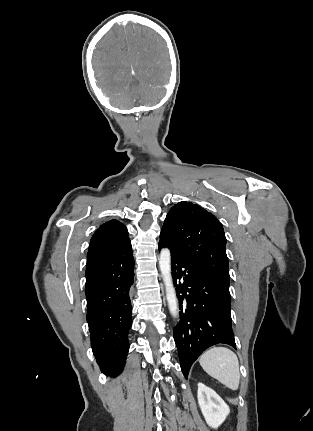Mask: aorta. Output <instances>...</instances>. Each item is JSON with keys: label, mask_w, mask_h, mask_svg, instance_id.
Wrapping results in <instances>:
<instances>
[{"label": "aorta", "mask_w": 313, "mask_h": 431, "mask_svg": "<svg viewBox=\"0 0 313 431\" xmlns=\"http://www.w3.org/2000/svg\"><path fill=\"white\" fill-rule=\"evenodd\" d=\"M159 267L165 285L166 299L169 311L174 318H178L179 304L171 276V253L170 250L167 248L162 249L160 252Z\"/></svg>", "instance_id": "obj_1"}]
</instances>
